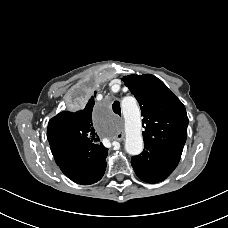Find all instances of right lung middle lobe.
I'll return each mask as SVG.
<instances>
[{"mask_svg":"<svg viewBox=\"0 0 228 228\" xmlns=\"http://www.w3.org/2000/svg\"><path fill=\"white\" fill-rule=\"evenodd\" d=\"M86 98H87V91H82L76 98V104L82 105L85 102Z\"/></svg>","mask_w":228,"mask_h":228,"instance_id":"dd1d6c3e","label":"right lung middle lobe"}]
</instances>
